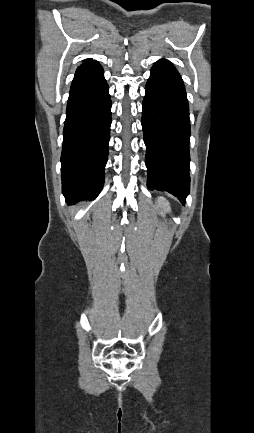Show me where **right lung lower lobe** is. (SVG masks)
<instances>
[{
    "mask_svg": "<svg viewBox=\"0 0 254 433\" xmlns=\"http://www.w3.org/2000/svg\"><path fill=\"white\" fill-rule=\"evenodd\" d=\"M111 99L101 65L86 60L71 84L63 130L62 192L68 203L95 198L104 184Z\"/></svg>",
    "mask_w": 254,
    "mask_h": 433,
    "instance_id": "1",
    "label": "right lung lower lobe"
}]
</instances>
